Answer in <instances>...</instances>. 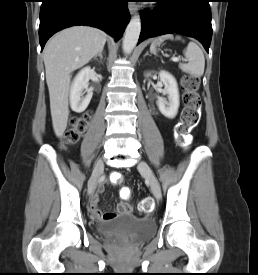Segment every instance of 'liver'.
Wrapping results in <instances>:
<instances>
[{"label":"liver","mask_w":258,"mask_h":275,"mask_svg":"<svg viewBox=\"0 0 258 275\" xmlns=\"http://www.w3.org/2000/svg\"><path fill=\"white\" fill-rule=\"evenodd\" d=\"M106 39V33L100 29L76 26L62 30L46 44L43 59L52 125L57 137H61L67 127L71 73L102 51Z\"/></svg>","instance_id":"1"}]
</instances>
